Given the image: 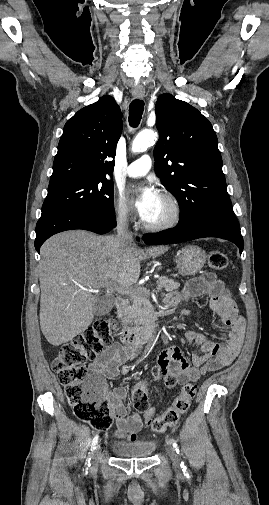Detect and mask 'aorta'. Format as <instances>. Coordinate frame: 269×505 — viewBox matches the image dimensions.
I'll return each mask as SVG.
<instances>
[{
	"label": "aorta",
	"instance_id": "obj_1",
	"mask_svg": "<svg viewBox=\"0 0 269 505\" xmlns=\"http://www.w3.org/2000/svg\"><path fill=\"white\" fill-rule=\"evenodd\" d=\"M157 133L153 130H143L139 132L132 142V152L138 153L147 150L155 143Z\"/></svg>",
	"mask_w": 269,
	"mask_h": 505
}]
</instances>
